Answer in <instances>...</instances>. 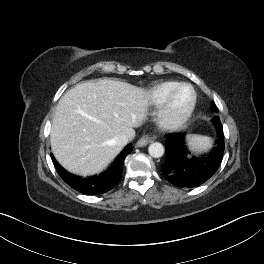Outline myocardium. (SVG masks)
Segmentation results:
<instances>
[{
	"instance_id": "obj_1",
	"label": "myocardium",
	"mask_w": 264,
	"mask_h": 264,
	"mask_svg": "<svg viewBox=\"0 0 264 264\" xmlns=\"http://www.w3.org/2000/svg\"><path fill=\"white\" fill-rule=\"evenodd\" d=\"M188 88L191 91V99L187 106L180 112L176 110L175 98L179 91ZM198 101L195 88L189 83H179L166 96L157 114V123L160 128L167 131H175L184 127L192 117Z\"/></svg>"
}]
</instances>
